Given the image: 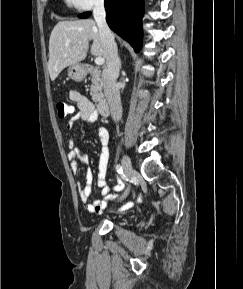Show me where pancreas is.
<instances>
[{
    "label": "pancreas",
    "mask_w": 243,
    "mask_h": 289,
    "mask_svg": "<svg viewBox=\"0 0 243 289\" xmlns=\"http://www.w3.org/2000/svg\"><path fill=\"white\" fill-rule=\"evenodd\" d=\"M91 88H90V95L92 97V100L97 103L100 100L103 99V93H102V86L103 81L100 76V71L94 70L91 75Z\"/></svg>",
    "instance_id": "1"
}]
</instances>
